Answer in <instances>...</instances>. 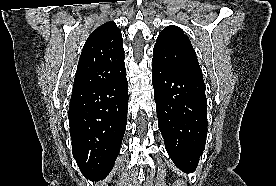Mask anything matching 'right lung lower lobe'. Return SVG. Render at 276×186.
Segmentation results:
<instances>
[{"label": "right lung lower lobe", "instance_id": "obj_1", "mask_svg": "<svg viewBox=\"0 0 276 186\" xmlns=\"http://www.w3.org/2000/svg\"><path fill=\"white\" fill-rule=\"evenodd\" d=\"M126 74L120 79L72 91L68 111L72 153L89 180H103L112 170L126 130Z\"/></svg>", "mask_w": 276, "mask_h": 186}]
</instances>
